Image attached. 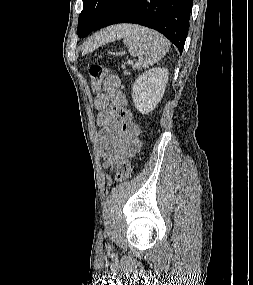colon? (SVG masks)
<instances>
[{"label": "colon", "instance_id": "1", "mask_svg": "<svg viewBox=\"0 0 253 285\" xmlns=\"http://www.w3.org/2000/svg\"><path fill=\"white\" fill-rule=\"evenodd\" d=\"M90 73V85L94 92L99 91L102 80L108 76L109 70L101 65H92L89 69ZM134 172V168L132 166L129 158H121L118 163L117 172H116V180L117 182H124L127 180Z\"/></svg>", "mask_w": 253, "mask_h": 285}]
</instances>
